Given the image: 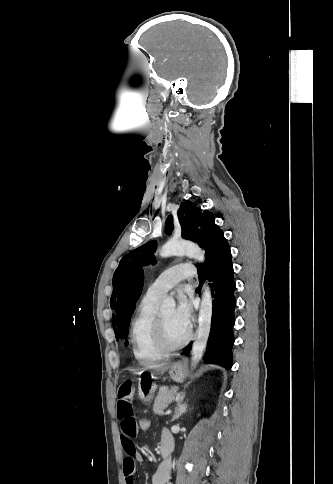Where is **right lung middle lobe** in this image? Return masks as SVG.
Instances as JSON below:
<instances>
[{"label":"right lung middle lobe","instance_id":"right-lung-middle-lobe-1","mask_svg":"<svg viewBox=\"0 0 333 484\" xmlns=\"http://www.w3.org/2000/svg\"><path fill=\"white\" fill-rule=\"evenodd\" d=\"M128 326H129V321L126 323V325L124 326V329H123L122 333L120 334V337L121 338H125L127 336ZM125 345H127V342L125 343Z\"/></svg>","mask_w":333,"mask_h":484}]
</instances>
